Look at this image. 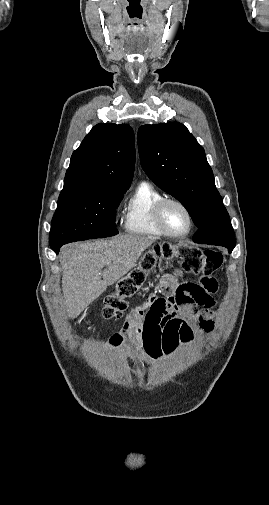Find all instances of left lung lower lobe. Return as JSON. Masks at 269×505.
I'll return each mask as SVG.
<instances>
[{
  "mask_svg": "<svg viewBox=\"0 0 269 505\" xmlns=\"http://www.w3.org/2000/svg\"><path fill=\"white\" fill-rule=\"evenodd\" d=\"M224 247L228 248L229 253H231L235 246H224Z\"/></svg>",
  "mask_w": 269,
  "mask_h": 505,
  "instance_id": "obj_1",
  "label": "left lung lower lobe"
}]
</instances>
